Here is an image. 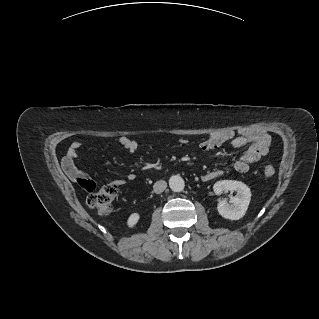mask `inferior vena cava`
Returning a JSON list of instances; mask_svg holds the SVG:
<instances>
[{"label":"inferior vena cava","instance_id":"1","mask_svg":"<svg viewBox=\"0 0 319 319\" xmlns=\"http://www.w3.org/2000/svg\"><path fill=\"white\" fill-rule=\"evenodd\" d=\"M167 188V183L164 180H158L153 185V191L157 194L162 193Z\"/></svg>","mask_w":319,"mask_h":319}]
</instances>
